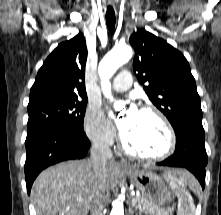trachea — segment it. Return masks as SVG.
Masks as SVG:
<instances>
[{"label":"trachea","instance_id":"obj_1","mask_svg":"<svg viewBox=\"0 0 221 215\" xmlns=\"http://www.w3.org/2000/svg\"><path fill=\"white\" fill-rule=\"evenodd\" d=\"M106 23H107L108 29L110 31H113L115 27V12L112 6H108L107 8Z\"/></svg>","mask_w":221,"mask_h":215}]
</instances>
